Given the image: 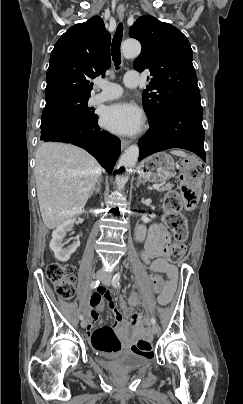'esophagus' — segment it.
Segmentation results:
<instances>
[{
    "label": "esophagus",
    "mask_w": 243,
    "mask_h": 404,
    "mask_svg": "<svg viewBox=\"0 0 243 404\" xmlns=\"http://www.w3.org/2000/svg\"><path fill=\"white\" fill-rule=\"evenodd\" d=\"M124 13H125V7L124 6H119L117 7V15L120 21L123 20L124 18ZM130 144V140H121V147L122 149H125L128 145Z\"/></svg>",
    "instance_id": "34e87169"
}]
</instances>
